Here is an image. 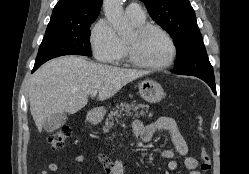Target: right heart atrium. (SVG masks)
Listing matches in <instances>:
<instances>
[{
	"mask_svg": "<svg viewBox=\"0 0 249 174\" xmlns=\"http://www.w3.org/2000/svg\"><path fill=\"white\" fill-rule=\"evenodd\" d=\"M94 57L104 63H116L124 53L122 40L106 18L99 19L90 34Z\"/></svg>",
	"mask_w": 249,
	"mask_h": 174,
	"instance_id": "obj_1",
	"label": "right heart atrium"
}]
</instances>
